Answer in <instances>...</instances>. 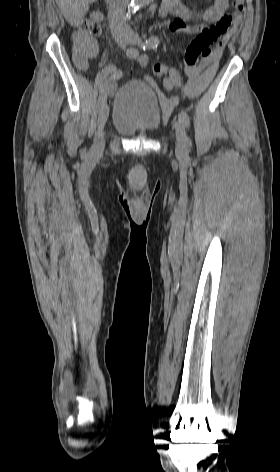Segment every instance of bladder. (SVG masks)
<instances>
[{"label":"bladder","instance_id":"bladder-1","mask_svg":"<svg viewBox=\"0 0 280 472\" xmlns=\"http://www.w3.org/2000/svg\"><path fill=\"white\" fill-rule=\"evenodd\" d=\"M162 110L155 91L145 82L129 81L116 92L112 125L128 136L147 135L158 131Z\"/></svg>","mask_w":280,"mask_h":472}]
</instances>
